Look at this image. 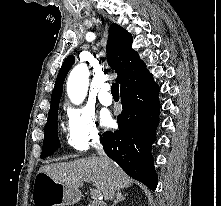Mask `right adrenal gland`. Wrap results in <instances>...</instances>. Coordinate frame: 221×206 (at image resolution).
<instances>
[{
	"label": "right adrenal gland",
	"mask_w": 221,
	"mask_h": 206,
	"mask_svg": "<svg viewBox=\"0 0 221 206\" xmlns=\"http://www.w3.org/2000/svg\"><path fill=\"white\" fill-rule=\"evenodd\" d=\"M127 194H122L121 191H117L116 193V200L113 202V204L111 206H116L118 203L122 202L125 200V196Z\"/></svg>",
	"instance_id": "1"
}]
</instances>
